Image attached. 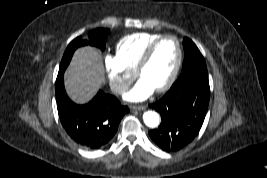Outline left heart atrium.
<instances>
[{"instance_id": "1", "label": "left heart atrium", "mask_w": 267, "mask_h": 178, "mask_svg": "<svg viewBox=\"0 0 267 178\" xmlns=\"http://www.w3.org/2000/svg\"><path fill=\"white\" fill-rule=\"evenodd\" d=\"M155 89L144 79H139L135 86L124 96L127 101L141 102L149 98Z\"/></svg>"}]
</instances>
